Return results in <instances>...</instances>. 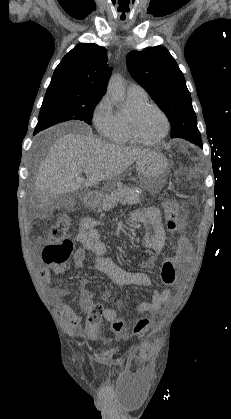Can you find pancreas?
<instances>
[{
    "label": "pancreas",
    "instance_id": "pancreas-1",
    "mask_svg": "<svg viewBox=\"0 0 231 419\" xmlns=\"http://www.w3.org/2000/svg\"><path fill=\"white\" fill-rule=\"evenodd\" d=\"M118 202L122 204L135 205L141 203L140 194L134 188L126 185H119L109 195H105L101 201L103 210L113 208Z\"/></svg>",
    "mask_w": 231,
    "mask_h": 419
}]
</instances>
